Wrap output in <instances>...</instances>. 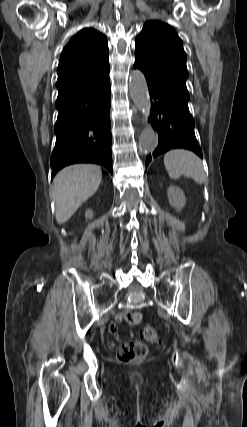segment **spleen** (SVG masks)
I'll return each mask as SVG.
<instances>
[{
	"label": "spleen",
	"mask_w": 247,
	"mask_h": 427,
	"mask_svg": "<svg viewBox=\"0 0 247 427\" xmlns=\"http://www.w3.org/2000/svg\"><path fill=\"white\" fill-rule=\"evenodd\" d=\"M164 165L172 179H178L180 175H184L198 184L206 181L200 158L188 150H170L164 155Z\"/></svg>",
	"instance_id": "1"
}]
</instances>
